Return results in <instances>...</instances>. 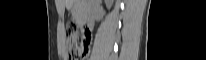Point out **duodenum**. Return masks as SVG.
Instances as JSON below:
<instances>
[{"label":"duodenum","mask_w":206,"mask_h":60,"mask_svg":"<svg viewBox=\"0 0 206 60\" xmlns=\"http://www.w3.org/2000/svg\"><path fill=\"white\" fill-rule=\"evenodd\" d=\"M83 28H84L85 33H88L89 32V23L85 22L83 25Z\"/></svg>","instance_id":"1"}]
</instances>
